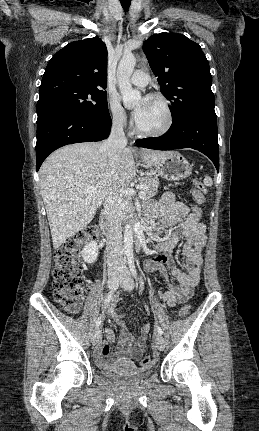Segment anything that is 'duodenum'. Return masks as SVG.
<instances>
[{"label":"duodenum","mask_w":259,"mask_h":431,"mask_svg":"<svg viewBox=\"0 0 259 431\" xmlns=\"http://www.w3.org/2000/svg\"><path fill=\"white\" fill-rule=\"evenodd\" d=\"M99 226L101 228V230L103 231V233L106 236H109L111 233V229H112V221H111V215H110V211L108 208H105L101 214L100 217V222H99ZM142 228L139 227L136 229V237H137V242H136V249L140 250L142 247V242H143V233H142Z\"/></svg>","instance_id":"obj_1"}]
</instances>
